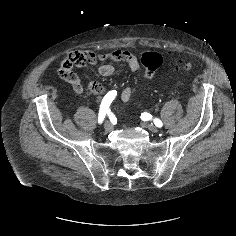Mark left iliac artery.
I'll use <instances>...</instances> for the list:
<instances>
[{"mask_svg":"<svg viewBox=\"0 0 236 236\" xmlns=\"http://www.w3.org/2000/svg\"><path fill=\"white\" fill-rule=\"evenodd\" d=\"M148 115H149V114H147V113H142L141 116H142V118H147ZM154 124H155L157 127H159V128H161V127L163 126L162 121H161L160 119H157V118L154 119Z\"/></svg>","mask_w":236,"mask_h":236,"instance_id":"left-iliac-artery-1","label":"left iliac artery"}]
</instances>
